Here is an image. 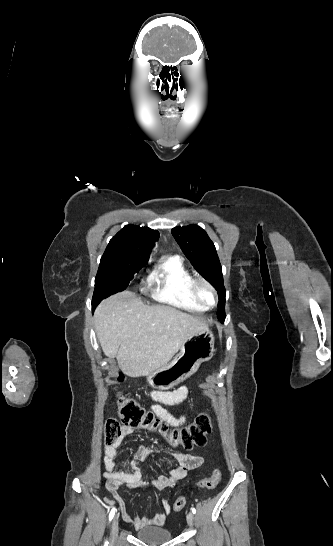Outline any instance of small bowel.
<instances>
[{
  "mask_svg": "<svg viewBox=\"0 0 333 546\" xmlns=\"http://www.w3.org/2000/svg\"><path fill=\"white\" fill-rule=\"evenodd\" d=\"M188 387L182 386L175 391L162 392L151 391L150 398L154 402L152 409L159 419L170 427H181L187 421V415L181 414L174 416L165 406H176L183 403L188 397ZM134 433L132 428L123 426L121 434L116 442L104 448L103 464L105 472L103 473L106 479L107 489L119 501L121 506L122 517L126 522L132 523L136 529H141L147 526H161L164 524L166 516L171 512V506L165 498L161 502L165 513H157L153 516H139L131 512L125 505L123 499L118 493L121 487L146 490L149 488L157 491H164L174 487L188 473L202 465L204 458L201 455H193L187 453L170 454L171 458L176 462V466L170 469L167 473L161 474L153 479H144L140 468V463L148 458L161 454L160 451L147 448L143 445H138L135 448L134 460L128 469H121L117 463L119 448L122 443Z\"/></svg>",
  "mask_w": 333,
  "mask_h": 546,
  "instance_id": "small-bowel-1",
  "label": "small bowel"
}]
</instances>
